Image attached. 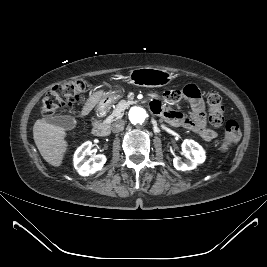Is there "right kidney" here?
<instances>
[{"mask_svg": "<svg viewBox=\"0 0 267 267\" xmlns=\"http://www.w3.org/2000/svg\"><path fill=\"white\" fill-rule=\"evenodd\" d=\"M92 143L87 141L77 148L74 154V167L81 176H89L101 170L106 162L103 154L96 155L86 160V156L91 154Z\"/></svg>", "mask_w": 267, "mask_h": 267, "instance_id": "1", "label": "right kidney"}]
</instances>
